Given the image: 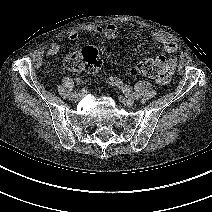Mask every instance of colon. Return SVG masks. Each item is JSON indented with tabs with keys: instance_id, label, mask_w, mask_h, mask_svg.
I'll return each mask as SVG.
<instances>
[{
	"instance_id": "colon-1",
	"label": "colon",
	"mask_w": 212,
	"mask_h": 212,
	"mask_svg": "<svg viewBox=\"0 0 212 212\" xmlns=\"http://www.w3.org/2000/svg\"><path fill=\"white\" fill-rule=\"evenodd\" d=\"M101 60L96 48L88 46L82 52L68 55L63 60L64 67L73 73L87 71L95 72L100 67ZM165 59L162 57L143 58L136 65L137 73L160 80L163 76Z\"/></svg>"
}]
</instances>
